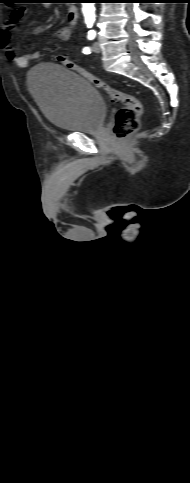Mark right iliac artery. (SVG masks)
I'll use <instances>...</instances> for the list:
<instances>
[{
	"instance_id": "1",
	"label": "right iliac artery",
	"mask_w": 190,
	"mask_h": 483,
	"mask_svg": "<svg viewBox=\"0 0 190 483\" xmlns=\"http://www.w3.org/2000/svg\"><path fill=\"white\" fill-rule=\"evenodd\" d=\"M87 27L88 28H91L92 27V23H87Z\"/></svg>"
}]
</instances>
